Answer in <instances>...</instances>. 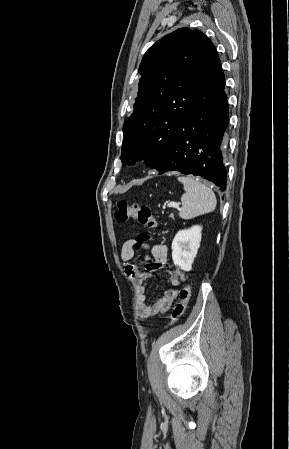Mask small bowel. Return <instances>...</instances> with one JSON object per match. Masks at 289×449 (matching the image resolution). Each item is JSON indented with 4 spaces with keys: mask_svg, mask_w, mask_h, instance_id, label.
<instances>
[{
    "mask_svg": "<svg viewBox=\"0 0 289 449\" xmlns=\"http://www.w3.org/2000/svg\"><path fill=\"white\" fill-rule=\"evenodd\" d=\"M136 243L135 239L126 241L122 246L121 258L124 262L126 273L137 285L138 295L136 305L138 315L141 319H146L158 313L167 312L177 299L178 291L176 289H168L161 298L153 303H148L146 287L147 281L152 278V272L163 268H170L168 248L161 243L150 246L147 242H142L140 248L148 250L153 259L151 263L146 265V270L143 271L140 269L139 263L134 260ZM169 280L174 287H178L184 280V275L180 270L172 269L170 270Z\"/></svg>",
    "mask_w": 289,
    "mask_h": 449,
    "instance_id": "obj_1",
    "label": "small bowel"
}]
</instances>
